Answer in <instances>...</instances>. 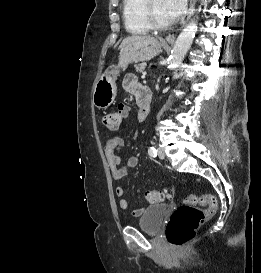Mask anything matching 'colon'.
Listing matches in <instances>:
<instances>
[{
    "label": "colon",
    "instance_id": "5ec220e1",
    "mask_svg": "<svg viewBox=\"0 0 261 273\" xmlns=\"http://www.w3.org/2000/svg\"><path fill=\"white\" fill-rule=\"evenodd\" d=\"M123 117L121 111L109 113L103 117L104 125L110 130L118 129ZM172 189L147 190L144 196L149 203L156 204L170 199ZM196 205L206 206L202 210ZM218 211V202L211 194L188 195L184 203L174 210L166 226V238L169 244L175 248H182L190 242L196 234L199 226L207 219L213 217Z\"/></svg>",
    "mask_w": 261,
    "mask_h": 273
}]
</instances>
